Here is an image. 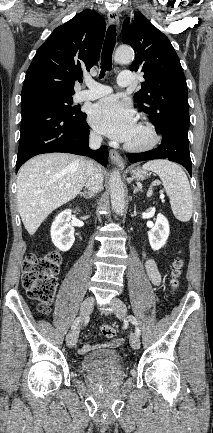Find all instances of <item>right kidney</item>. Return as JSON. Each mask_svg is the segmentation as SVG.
Returning <instances> with one entry per match:
<instances>
[{
	"mask_svg": "<svg viewBox=\"0 0 213 433\" xmlns=\"http://www.w3.org/2000/svg\"><path fill=\"white\" fill-rule=\"evenodd\" d=\"M72 210L67 209L58 214L51 226V239L54 245L61 251H68L74 244V228L69 223Z\"/></svg>",
	"mask_w": 213,
	"mask_h": 433,
	"instance_id": "ca27d5eb",
	"label": "right kidney"
}]
</instances>
